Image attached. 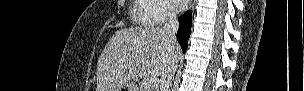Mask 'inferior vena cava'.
Masks as SVG:
<instances>
[{
	"label": "inferior vena cava",
	"mask_w": 304,
	"mask_h": 91,
	"mask_svg": "<svg viewBox=\"0 0 304 91\" xmlns=\"http://www.w3.org/2000/svg\"><path fill=\"white\" fill-rule=\"evenodd\" d=\"M179 27V22L174 10L170 9L168 13V22L163 26V32L170 38L174 45L178 44L176 33ZM178 61H173L161 74L157 91H170V85L177 69Z\"/></svg>",
	"instance_id": "1"
}]
</instances>
